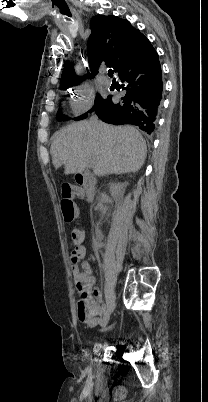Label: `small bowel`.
<instances>
[{
	"label": "small bowel",
	"instance_id": "small-bowel-1",
	"mask_svg": "<svg viewBox=\"0 0 208 402\" xmlns=\"http://www.w3.org/2000/svg\"><path fill=\"white\" fill-rule=\"evenodd\" d=\"M79 240L84 244L88 239L83 235ZM72 273L79 295L90 301L96 314L93 321H90L88 315H79L77 321L81 324L83 330H94L98 327V324L105 321L104 309L100 304V301L103 300V294L99 292L98 289H94V294L97 296V299L93 300L89 296V290H91L95 284V277L89 262L85 261L83 267H72Z\"/></svg>",
	"mask_w": 208,
	"mask_h": 402
}]
</instances>
